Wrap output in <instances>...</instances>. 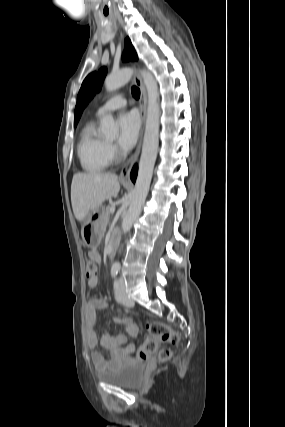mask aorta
Listing matches in <instances>:
<instances>
[{
	"mask_svg": "<svg viewBox=\"0 0 285 427\" xmlns=\"http://www.w3.org/2000/svg\"><path fill=\"white\" fill-rule=\"evenodd\" d=\"M132 75L133 70L130 68L111 73L104 81L106 90L113 92L119 89L130 81ZM141 75L148 95L146 126L135 187L129 209L122 221L123 233L130 231L134 221L141 213L142 206L148 195L159 145L160 105L158 85L149 71L142 70ZM100 130L105 137L112 139L118 134V125L111 115H106L101 120ZM114 266L120 267V263L115 262Z\"/></svg>",
	"mask_w": 285,
	"mask_h": 427,
	"instance_id": "aorta-1",
	"label": "aorta"
}]
</instances>
